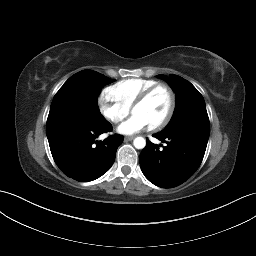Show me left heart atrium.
<instances>
[{
  "instance_id": "39dd6f15",
  "label": "left heart atrium",
  "mask_w": 256,
  "mask_h": 256,
  "mask_svg": "<svg viewBox=\"0 0 256 256\" xmlns=\"http://www.w3.org/2000/svg\"><path fill=\"white\" fill-rule=\"evenodd\" d=\"M149 126L148 121L143 116L133 114L118 126L117 131L124 135H131L145 130Z\"/></svg>"
}]
</instances>
